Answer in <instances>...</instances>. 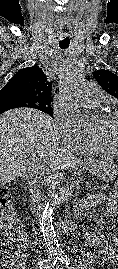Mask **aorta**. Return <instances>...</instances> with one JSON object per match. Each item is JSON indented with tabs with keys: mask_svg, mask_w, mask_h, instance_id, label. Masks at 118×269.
Returning a JSON list of instances; mask_svg holds the SVG:
<instances>
[{
	"mask_svg": "<svg viewBox=\"0 0 118 269\" xmlns=\"http://www.w3.org/2000/svg\"><path fill=\"white\" fill-rule=\"evenodd\" d=\"M83 77L80 71L71 69L60 79V95L66 109L75 118L76 122L84 128L93 127V119L89 111L79 105V98L82 92ZM73 194L71 186H64L58 189L52 198L46 203L42 218L41 231L44 242L51 252H60L56 232L53 226V212L55 207L62 200L68 199Z\"/></svg>",
	"mask_w": 118,
	"mask_h": 269,
	"instance_id": "762f6f07",
	"label": "aorta"
}]
</instances>
